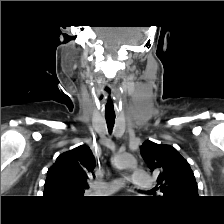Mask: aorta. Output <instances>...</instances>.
I'll return each instance as SVG.
<instances>
[{"mask_svg": "<svg viewBox=\"0 0 224 224\" xmlns=\"http://www.w3.org/2000/svg\"><path fill=\"white\" fill-rule=\"evenodd\" d=\"M114 164L118 169L135 168L137 160L130 154H120L115 157Z\"/></svg>", "mask_w": 224, "mask_h": 224, "instance_id": "obj_1", "label": "aorta"}]
</instances>
